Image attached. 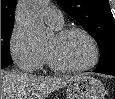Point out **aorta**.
I'll return each instance as SVG.
<instances>
[{
	"mask_svg": "<svg viewBox=\"0 0 115 99\" xmlns=\"http://www.w3.org/2000/svg\"><path fill=\"white\" fill-rule=\"evenodd\" d=\"M47 2V0H27L19 3L17 7V24L32 48L41 47L48 41L49 32L42 20V12Z\"/></svg>",
	"mask_w": 115,
	"mask_h": 99,
	"instance_id": "762f6f07",
	"label": "aorta"
}]
</instances>
